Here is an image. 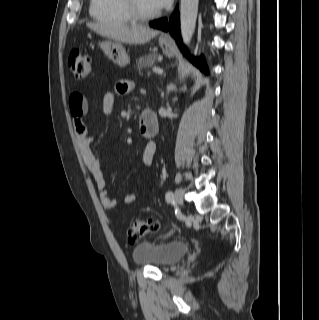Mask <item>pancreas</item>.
<instances>
[{
  "mask_svg": "<svg viewBox=\"0 0 319 320\" xmlns=\"http://www.w3.org/2000/svg\"><path fill=\"white\" fill-rule=\"evenodd\" d=\"M158 56L156 53L143 55L139 58L137 62V69L140 72L142 68H149L152 67L157 60Z\"/></svg>",
  "mask_w": 319,
  "mask_h": 320,
  "instance_id": "cf45deb5",
  "label": "pancreas"
}]
</instances>
